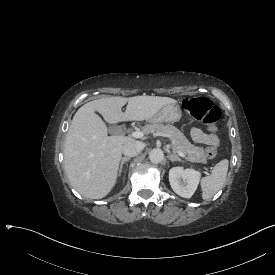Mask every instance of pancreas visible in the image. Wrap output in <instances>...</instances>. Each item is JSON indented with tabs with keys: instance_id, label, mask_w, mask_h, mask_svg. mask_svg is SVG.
<instances>
[{
	"instance_id": "1",
	"label": "pancreas",
	"mask_w": 275,
	"mask_h": 275,
	"mask_svg": "<svg viewBox=\"0 0 275 275\" xmlns=\"http://www.w3.org/2000/svg\"><path fill=\"white\" fill-rule=\"evenodd\" d=\"M143 132L147 133H163L171 140V147L174 151L179 150L183 153V157L191 162L206 164L204 149L194 146L186 136L177 127L170 124L149 123L142 127Z\"/></svg>"
}]
</instances>
